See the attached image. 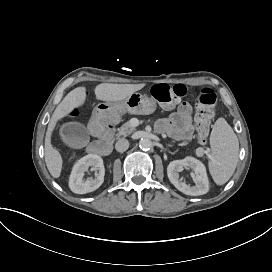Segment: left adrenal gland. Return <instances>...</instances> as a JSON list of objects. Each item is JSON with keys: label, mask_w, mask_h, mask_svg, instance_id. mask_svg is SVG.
<instances>
[{"label": "left adrenal gland", "mask_w": 272, "mask_h": 272, "mask_svg": "<svg viewBox=\"0 0 272 272\" xmlns=\"http://www.w3.org/2000/svg\"><path fill=\"white\" fill-rule=\"evenodd\" d=\"M167 147H173L174 145L172 144H166Z\"/></svg>", "instance_id": "1"}]
</instances>
